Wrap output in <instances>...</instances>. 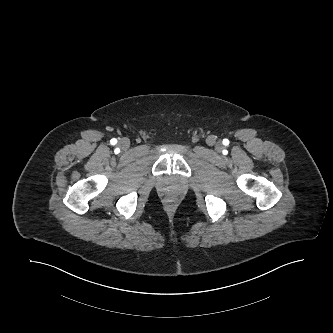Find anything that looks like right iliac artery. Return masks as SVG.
Returning <instances> with one entry per match:
<instances>
[{
  "label": "right iliac artery",
  "instance_id": "1",
  "mask_svg": "<svg viewBox=\"0 0 333 333\" xmlns=\"http://www.w3.org/2000/svg\"><path fill=\"white\" fill-rule=\"evenodd\" d=\"M111 143H112V144H116V143H117V140H116V139H112V140H111Z\"/></svg>",
  "mask_w": 333,
  "mask_h": 333
}]
</instances>
